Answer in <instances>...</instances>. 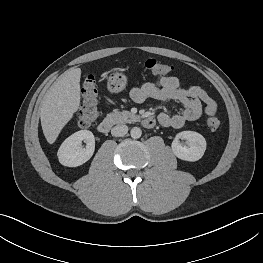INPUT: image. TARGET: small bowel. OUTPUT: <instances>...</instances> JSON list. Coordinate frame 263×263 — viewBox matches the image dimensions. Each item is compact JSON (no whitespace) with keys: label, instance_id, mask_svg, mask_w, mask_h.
<instances>
[{"label":"small bowel","instance_id":"c3829d8e","mask_svg":"<svg viewBox=\"0 0 263 263\" xmlns=\"http://www.w3.org/2000/svg\"><path fill=\"white\" fill-rule=\"evenodd\" d=\"M130 96L136 103H143L149 98L178 102L182 107L179 113L170 115L162 112L158 115L160 125L175 129L197 120L203 112L209 117L214 116L217 111L216 102L204 89L195 85L182 87L179 79L174 76L161 77L156 81L135 87L131 90Z\"/></svg>","mask_w":263,"mask_h":263}]
</instances>
